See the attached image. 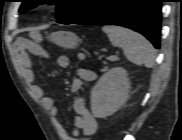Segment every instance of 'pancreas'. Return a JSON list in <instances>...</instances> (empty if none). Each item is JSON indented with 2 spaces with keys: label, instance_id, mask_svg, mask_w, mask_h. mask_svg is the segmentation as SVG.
<instances>
[{
  "label": "pancreas",
  "instance_id": "obj_1",
  "mask_svg": "<svg viewBox=\"0 0 182 140\" xmlns=\"http://www.w3.org/2000/svg\"><path fill=\"white\" fill-rule=\"evenodd\" d=\"M108 69V67H104L103 69H101V72H104V71H106Z\"/></svg>",
  "mask_w": 182,
  "mask_h": 140
}]
</instances>
